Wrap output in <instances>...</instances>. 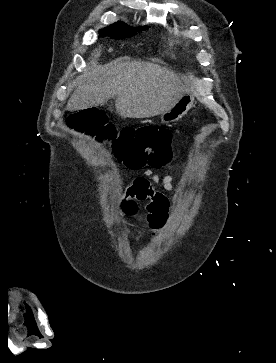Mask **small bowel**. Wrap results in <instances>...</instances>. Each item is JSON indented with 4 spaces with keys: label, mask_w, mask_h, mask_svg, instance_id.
<instances>
[{
    "label": "small bowel",
    "mask_w": 276,
    "mask_h": 363,
    "mask_svg": "<svg viewBox=\"0 0 276 363\" xmlns=\"http://www.w3.org/2000/svg\"><path fill=\"white\" fill-rule=\"evenodd\" d=\"M157 185H160L166 192L175 191L173 177L170 174L160 177L147 169L143 176L134 179L126 190L124 207L127 214L135 215L138 212V203L146 201L148 202L149 222L151 216L159 218L162 213H165L168 209V198L156 188ZM155 229L153 228V230Z\"/></svg>",
    "instance_id": "c3829d8e"
}]
</instances>
